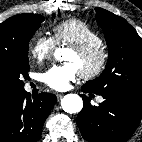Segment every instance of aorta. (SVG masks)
<instances>
[{
    "instance_id": "1",
    "label": "aorta",
    "mask_w": 142,
    "mask_h": 142,
    "mask_svg": "<svg viewBox=\"0 0 142 142\" xmlns=\"http://www.w3.org/2000/svg\"><path fill=\"white\" fill-rule=\"evenodd\" d=\"M54 56L57 60L61 59V50L55 51ZM62 109L70 114L78 113L83 107V101L77 94H67L61 100Z\"/></svg>"
}]
</instances>
